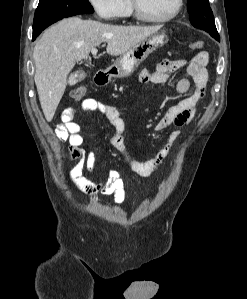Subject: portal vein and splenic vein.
I'll return each mask as SVG.
<instances>
[{
  "mask_svg": "<svg viewBox=\"0 0 247 299\" xmlns=\"http://www.w3.org/2000/svg\"><path fill=\"white\" fill-rule=\"evenodd\" d=\"M97 49L96 48H92V50H91V53H92V55H96L97 54Z\"/></svg>",
  "mask_w": 247,
  "mask_h": 299,
  "instance_id": "1",
  "label": "portal vein and splenic vein"
}]
</instances>
